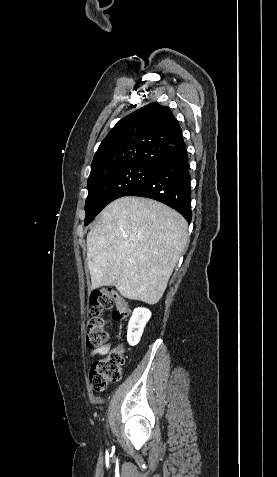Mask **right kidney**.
<instances>
[{
	"label": "right kidney",
	"instance_id": "obj_1",
	"mask_svg": "<svg viewBox=\"0 0 277 477\" xmlns=\"http://www.w3.org/2000/svg\"><path fill=\"white\" fill-rule=\"evenodd\" d=\"M151 318L150 310L142 307L134 309L128 323L127 342L131 346L139 343L144 331V327Z\"/></svg>",
	"mask_w": 277,
	"mask_h": 477
}]
</instances>
